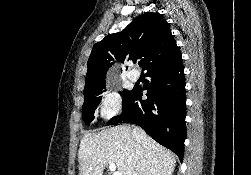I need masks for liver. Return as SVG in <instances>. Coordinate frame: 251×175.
I'll return each instance as SVG.
<instances>
[{"label":"liver","mask_w":251,"mask_h":175,"mask_svg":"<svg viewBox=\"0 0 251 175\" xmlns=\"http://www.w3.org/2000/svg\"><path fill=\"white\" fill-rule=\"evenodd\" d=\"M79 175H102L115 163L122 175H172L174 153L141 131L134 137L129 125H116L99 133H85L78 149Z\"/></svg>","instance_id":"6515ba94"}]
</instances>
